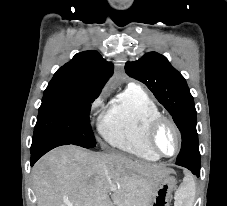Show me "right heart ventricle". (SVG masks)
I'll use <instances>...</instances> for the list:
<instances>
[{
    "mask_svg": "<svg viewBox=\"0 0 227 206\" xmlns=\"http://www.w3.org/2000/svg\"><path fill=\"white\" fill-rule=\"evenodd\" d=\"M160 114L159 107L145 91L129 86L109 103L100 120L99 132L112 147L156 161L159 157L148 148L145 131L148 123Z\"/></svg>",
    "mask_w": 227,
    "mask_h": 206,
    "instance_id": "obj_1",
    "label": "right heart ventricle"
}]
</instances>
